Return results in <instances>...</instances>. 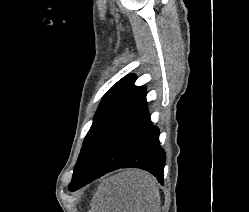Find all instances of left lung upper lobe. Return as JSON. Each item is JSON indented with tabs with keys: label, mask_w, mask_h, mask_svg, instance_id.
<instances>
[{
	"label": "left lung upper lobe",
	"mask_w": 249,
	"mask_h": 212,
	"mask_svg": "<svg viewBox=\"0 0 249 212\" xmlns=\"http://www.w3.org/2000/svg\"><path fill=\"white\" fill-rule=\"evenodd\" d=\"M135 79L134 75L122 78L104 95L83 142L72 181L80 176L108 130L145 93V87L134 86Z\"/></svg>",
	"instance_id": "left-lung-upper-lobe-1"
}]
</instances>
